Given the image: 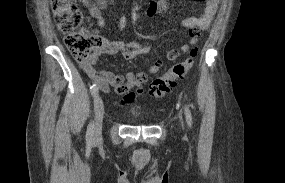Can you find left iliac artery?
Wrapping results in <instances>:
<instances>
[{"mask_svg":"<svg viewBox=\"0 0 285 183\" xmlns=\"http://www.w3.org/2000/svg\"><path fill=\"white\" fill-rule=\"evenodd\" d=\"M185 115H186V120H187L188 125L191 126L192 125V115L187 106L185 107Z\"/></svg>","mask_w":285,"mask_h":183,"instance_id":"44dca946","label":"left iliac artery"}]
</instances>
